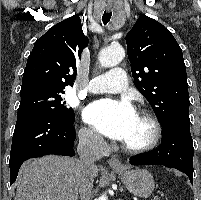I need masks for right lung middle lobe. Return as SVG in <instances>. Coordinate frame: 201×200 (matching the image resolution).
I'll return each mask as SVG.
<instances>
[{"instance_id":"dd1d6c3e","label":"right lung middle lobe","mask_w":201,"mask_h":200,"mask_svg":"<svg viewBox=\"0 0 201 200\" xmlns=\"http://www.w3.org/2000/svg\"><path fill=\"white\" fill-rule=\"evenodd\" d=\"M64 91L36 90L20 93L21 102L17 118L33 113H47L61 119L71 121L74 119L72 108L66 107L61 98Z\"/></svg>"}]
</instances>
